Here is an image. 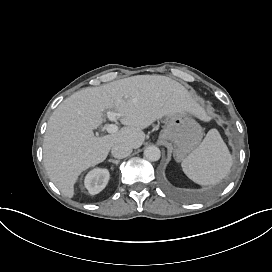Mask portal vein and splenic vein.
<instances>
[{"mask_svg": "<svg viewBox=\"0 0 272 272\" xmlns=\"http://www.w3.org/2000/svg\"><path fill=\"white\" fill-rule=\"evenodd\" d=\"M120 116H122L120 113H115V112H111V111L107 112V117L111 121H115L116 117H120ZM107 131L109 133H116L118 131V126L115 124H110L107 127Z\"/></svg>", "mask_w": 272, "mask_h": 272, "instance_id": "1", "label": "portal vein and splenic vein"}]
</instances>
